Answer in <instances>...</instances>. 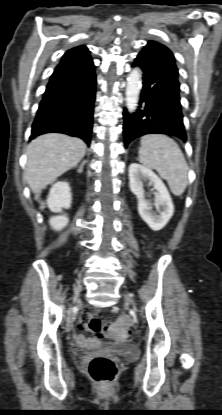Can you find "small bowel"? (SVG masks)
<instances>
[{"mask_svg": "<svg viewBox=\"0 0 222 415\" xmlns=\"http://www.w3.org/2000/svg\"><path fill=\"white\" fill-rule=\"evenodd\" d=\"M79 339H80L81 341H84V340H85V338H84V337H79Z\"/></svg>", "mask_w": 222, "mask_h": 415, "instance_id": "small-bowel-1", "label": "small bowel"}]
</instances>
